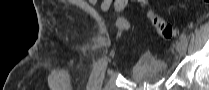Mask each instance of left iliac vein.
<instances>
[{"label": "left iliac vein", "instance_id": "1", "mask_svg": "<svg viewBox=\"0 0 209 90\" xmlns=\"http://www.w3.org/2000/svg\"><path fill=\"white\" fill-rule=\"evenodd\" d=\"M186 47H187L186 43H184L182 40L178 41L176 43V49H177V51H178L180 56H184L185 55Z\"/></svg>", "mask_w": 209, "mask_h": 90}]
</instances>
